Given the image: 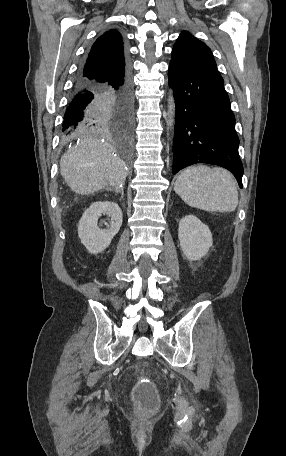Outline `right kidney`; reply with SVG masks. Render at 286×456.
I'll use <instances>...</instances> for the list:
<instances>
[{
  "label": "right kidney",
  "mask_w": 286,
  "mask_h": 456,
  "mask_svg": "<svg viewBox=\"0 0 286 456\" xmlns=\"http://www.w3.org/2000/svg\"><path fill=\"white\" fill-rule=\"evenodd\" d=\"M102 214L111 218L108 229L98 227V218ZM122 211L118 204L111 201H97L84 212L78 225L81 243L89 253L98 254L104 251L122 225Z\"/></svg>",
  "instance_id": "ca27d5eb"
}]
</instances>
